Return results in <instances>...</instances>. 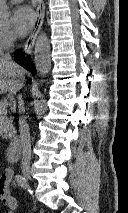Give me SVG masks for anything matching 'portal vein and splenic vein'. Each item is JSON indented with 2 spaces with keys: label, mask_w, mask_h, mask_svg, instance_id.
I'll return each instance as SVG.
<instances>
[{
  "label": "portal vein and splenic vein",
  "mask_w": 128,
  "mask_h": 213,
  "mask_svg": "<svg viewBox=\"0 0 128 213\" xmlns=\"http://www.w3.org/2000/svg\"><path fill=\"white\" fill-rule=\"evenodd\" d=\"M8 107V101L7 100H1L0 101V109H6Z\"/></svg>",
  "instance_id": "18ae733b"
}]
</instances>
